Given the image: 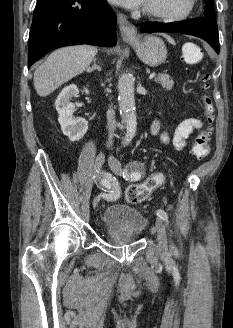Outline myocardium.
<instances>
[{
  "mask_svg": "<svg viewBox=\"0 0 233 328\" xmlns=\"http://www.w3.org/2000/svg\"><path fill=\"white\" fill-rule=\"evenodd\" d=\"M196 7V0H187L186 1V7L184 8L183 11L177 14H170V13H165L161 11H156L149 9L147 7H144L143 13L151 18L160 20V21H165V22H178V21H183L189 18L192 13L194 12Z\"/></svg>",
  "mask_w": 233,
  "mask_h": 328,
  "instance_id": "f54148a6",
  "label": "myocardium"
}]
</instances>
